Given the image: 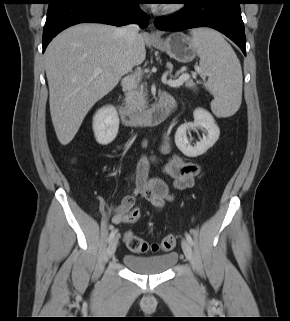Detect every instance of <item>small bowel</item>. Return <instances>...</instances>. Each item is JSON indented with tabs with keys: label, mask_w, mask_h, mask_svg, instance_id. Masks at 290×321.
<instances>
[{
	"label": "small bowel",
	"mask_w": 290,
	"mask_h": 321,
	"mask_svg": "<svg viewBox=\"0 0 290 321\" xmlns=\"http://www.w3.org/2000/svg\"><path fill=\"white\" fill-rule=\"evenodd\" d=\"M166 96V94H164ZM171 144V134L165 129L161 135V153H168ZM151 159L147 156L142 157L136 167L135 186L132 193L126 195L120 205L114 210L115 222H128V213L138 197L149 201L154 208L159 211L163 208L166 201L173 198L169 191L167 182L157 178H150L148 175ZM163 171L171 180L176 189H186L194 185L201 167L197 163L189 162L183 158L172 155L163 166Z\"/></svg>",
	"instance_id": "c3829d8e"
}]
</instances>
